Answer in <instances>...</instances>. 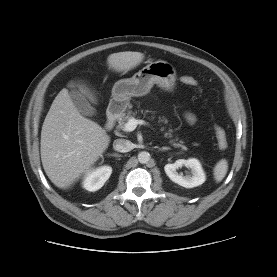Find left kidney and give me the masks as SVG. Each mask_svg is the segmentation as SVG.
I'll list each match as a JSON object with an SVG mask.
<instances>
[{"mask_svg":"<svg viewBox=\"0 0 277 277\" xmlns=\"http://www.w3.org/2000/svg\"><path fill=\"white\" fill-rule=\"evenodd\" d=\"M186 166L191 169L192 175H180L177 172L178 168ZM166 175L175 183L185 188L197 187L205 182V173L199 160L190 158L187 160L179 159L173 164H166L164 166Z\"/></svg>","mask_w":277,"mask_h":277,"instance_id":"1","label":"left kidney"}]
</instances>
